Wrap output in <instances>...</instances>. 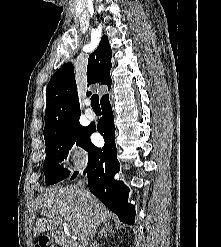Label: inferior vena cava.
Masks as SVG:
<instances>
[{"mask_svg": "<svg viewBox=\"0 0 221 247\" xmlns=\"http://www.w3.org/2000/svg\"><path fill=\"white\" fill-rule=\"evenodd\" d=\"M80 190H81V192H82V195L84 196V197H86V198H89V196H90V193L88 192V190H86L85 188H84V183H83V185H82V183H80ZM91 237H93V234H91Z\"/></svg>", "mask_w": 221, "mask_h": 247, "instance_id": "1", "label": "inferior vena cava"}]
</instances>
